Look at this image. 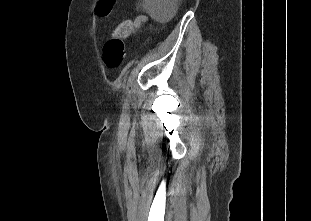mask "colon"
Listing matches in <instances>:
<instances>
[{"label": "colon", "mask_w": 311, "mask_h": 221, "mask_svg": "<svg viewBox=\"0 0 311 221\" xmlns=\"http://www.w3.org/2000/svg\"><path fill=\"white\" fill-rule=\"evenodd\" d=\"M114 0H103V2H98L97 6L94 8L95 17H100L101 20L107 19V9H111ZM133 23L131 21H126L120 23L114 33V37L106 42L103 47V59L106 66L110 69L118 68L125 55L124 40L118 41V36L125 34L129 36ZM116 36V37H115Z\"/></svg>", "instance_id": "obj_1"}]
</instances>
